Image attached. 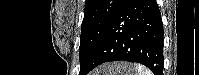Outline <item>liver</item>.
Masks as SVG:
<instances>
[{"instance_id": "1", "label": "liver", "mask_w": 199, "mask_h": 75, "mask_svg": "<svg viewBox=\"0 0 199 75\" xmlns=\"http://www.w3.org/2000/svg\"><path fill=\"white\" fill-rule=\"evenodd\" d=\"M117 68H119V69H120V67H117ZM111 69L113 70L114 68L112 67Z\"/></svg>"}]
</instances>
